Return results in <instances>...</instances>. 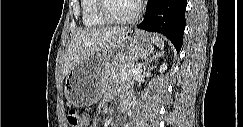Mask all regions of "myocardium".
<instances>
[{"label":"myocardium","instance_id":"f54148a6","mask_svg":"<svg viewBox=\"0 0 243 127\" xmlns=\"http://www.w3.org/2000/svg\"><path fill=\"white\" fill-rule=\"evenodd\" d=\"M106 2H107V0H98V9H99L100 15L108 23H111V24H128V23L135 22L140 17L142 10H143L142 3L140 1H135L134 12L128 17L120 18V17L113 16L109 12Z\"/></svg>","mask_w":243,"mask_h":127}]
</instances>
